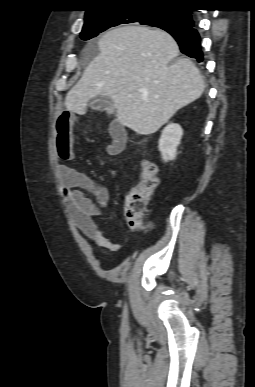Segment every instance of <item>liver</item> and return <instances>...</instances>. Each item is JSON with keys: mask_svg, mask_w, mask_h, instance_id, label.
<instances>
[{"mask_svg": "<svg viewBox=\"0 0 255 387\" xmlns=\"http://www.w3.org/2000/svg\"><path fill=\"white\" fill-rule=\"evenodd\" d=\"M98 47L100 53L66 94L71 112L83 115L90 99L110 97L121 125L150 135L204 91L197 67L188 58H177L176 41L161 29L115 28L100 38Z\"/></svg>", "mask_w": 255, "mask_h": 387, "instance_id": "obj_1", "label": "liver"}]
</instances>
